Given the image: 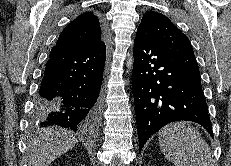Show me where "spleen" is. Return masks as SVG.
<instances>
[{"label":"spleen","mask_w":231,"mask_h":166,"mask_svg":"<svg viewBox=\"0 0 231 166\" xmlns=\"http://www.w3.org/2000/svg\"><path fill=\"white\" fill-rule=\"evenodd\" d=\"M158 135L164 156L175 166H214L209 145L189 122L169 124Z\"/></svg>","instance_id":"3e777b00"}]
</instances>
